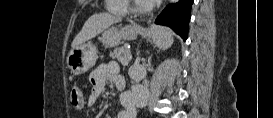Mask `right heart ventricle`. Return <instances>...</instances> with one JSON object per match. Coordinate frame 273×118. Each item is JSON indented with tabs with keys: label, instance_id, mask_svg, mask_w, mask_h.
<instances>
[{
	"label": "right heart ventricle",
	"instance_id": "obj_1",
	"mask_svg": "<svg viewBox=\"0 0 273 118\" xmlns=\"http://www.w3.org/2000/svg\"><path fill=\"white\" fill-rule=\"evenodd\" d=\"M108 9L113 13H126L127 12V1L126 0H109Z\"/></svg>",
	"mask_w": 273,
	"mask_h": 118
}]
</instances>
